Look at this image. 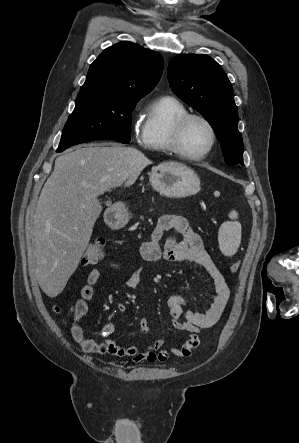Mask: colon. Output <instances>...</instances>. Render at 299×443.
I'll return each mask as SVG.
<instances>
[{"instance_id": "5ec220e1", "label": "colon", "mask_w": 299, "mask_h": 443, "mask_svg": "<svg viewBox=\"0 0 299 443\" xmlns=\"http://www.w3.org/2000/svg\"><path fill=\"white\" fill-rule=\"evenodd\" d=\"M104 249H105V241L103 239L91 242L88 245L82 257V264L83 265L94 264L99 260H101L104 256ZM229 268L232 273H236L240 268V263L238 261H235L230 265ZM55 311L61 313L60 307L56 306Z\"/></svg>"}]
</instances>
